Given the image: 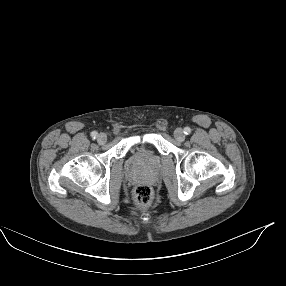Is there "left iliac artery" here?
I'll return each mask as SVG.
<instances>
[{
	"mask_svg": "<svg viewBox=\"0 0 286 286\" xmlns=\"http://www.w3.org/2000/svg\"><path fill=\"white\" fill-rule=\"evenodd\" d=\"M184 133H185L186 135L190 134V133H191V128L185 127V128H184Z\"/></svg>",
	"mask_w": 286,
	"mask_h": 286,
	"instance_id": "left-iliac-artery-1",
	"label": "left iliac artery"
}]
</instances>
